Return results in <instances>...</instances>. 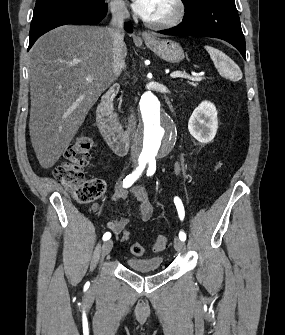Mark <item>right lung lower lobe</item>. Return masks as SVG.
I'll return each mask as SVG.
<instances>
[{"label": "right lung lower lobe", "instance_id": "right-lung-lower-lobe-1", "mask_svg": "<svg viewBox=\"0 0 285 335\" xmlns=\"http://www.w3.org/2000/svg\"><path fill=\"white\" fill-rule=\"evenodd\" d=\"M107 13V5L96 6L59 1L34 10L30 27L28 50L44 33L66 24L94 25L101 21ZM125 29L132 33L133 29L125 24Z\"/></svg>", "mask_w": 285, "mask_h": 335}]
</instances>
